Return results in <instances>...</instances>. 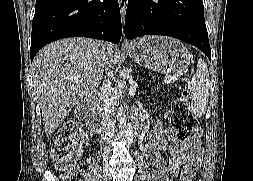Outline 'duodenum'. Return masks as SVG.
Wrapping results in <instances>:
<instances>
[{"label": "duodenum", "mask_w": 253, "mask_h": 181, "mask_svg": "<svg viewBox=\"0 0 253 181\" xmlns=\"http://www.w3.org/2000/svg\"><path fill=\"white\" fill-rule=\"evenodd\" d=\"M78 113L88 123L92 132L99 133L103 129L96 97H87L79 106Z\"/></svg>", "instance_id": "1"}]
</instances>
